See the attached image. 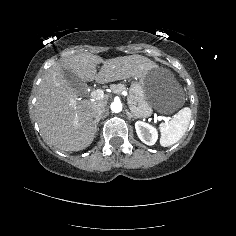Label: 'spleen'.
<instances>
[{
  "label": "spleen",
  "instance_id": "spleen-1",
  "mask_svg": "<svg viewBox=\"0 0 236 236\" xmlns=\"http://www.w3.org/2000/svg\"><path fill=\"white\" fill-rule=\"evenodd\" d=\"M191 120V109L185 107L181 109L174 119L160 124V144L163 147L177 143L185 134Z\"/></svg>",
  "mask_w": 236,
  "mask_h": 236
}]
</instances>
